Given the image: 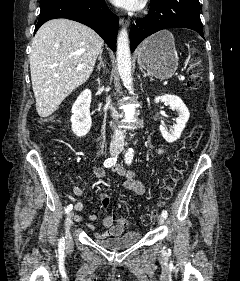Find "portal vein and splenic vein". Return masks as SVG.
Masks as SVG:
<instances>
[{
  "mask_svg": "<svg viewBox=\"0 0 240 281\" xmlns=\"http://www.w3.org/2000/svg\"><path fill=\"white\" fill-rule=\"evenodd\" d=\"M81 68H82L81 66H78V67H77V70H80ZM179 79H180V80H184V77H183V76H180Z\"/></svg>",
  "mask_w": 240,
  "mask_h": 281,
  "instance_id": "1",
  "label": "portal vein and splenic vein"
}]
</instances>
